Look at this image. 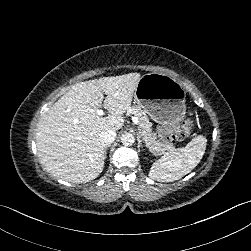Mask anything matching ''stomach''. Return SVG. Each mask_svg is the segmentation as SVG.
I'll return each mask as SVG.
<instances>
[{
    "mask_svg": "<svg viewBox=\"0 0 251 251\" xmlns=\"http://www.w3.org/2000/svg\"><path fill=\"white\" fill-rule=\"evenodd\" d=\"M186 92L173 77L164 73L143 75L134 92V99L151 119L163 126L179 124L186 113Z\"/></svg>",
    "mask_w": 251,
    "mask_h": 251,
    "instance_id": "1",
    "label": "stomach"
}]
</instances>
